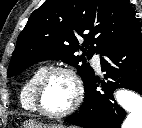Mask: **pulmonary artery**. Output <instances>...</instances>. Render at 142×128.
Returning a JSON list of instances; mask_svg holds the SVG:
<instances>
[{
  "mask_svg": "<svg viewBox=\"0 0 142 128\" xmlns=\"http://www.w3.org/2000/svg\"><path fill=\"white\" fill-rule=\"evenodd\" d=\"M92 64L97 70H100V57H99V55H97V54L93 55Z\"/></svg>",
  "mask_w": 142,
  "mask_h": 128,
  "instance_id": "obj_1",
  "label": "pulmonary artery"
}]
</instances>
